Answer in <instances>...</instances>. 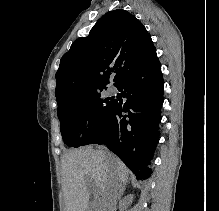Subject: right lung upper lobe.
Returning a JSON list of instances; mask_svg holds the SVG:
<instances>
[{
	"label": "right lung upper lobe",
	"mask_w": 219,
	"mask_h": 211,
	"mask_svg": "<svg viewBox=\"0 0 219 211\" xmlns=\"http://www.w3.org/2000/svg\"><path fill=\"white\" fill-rule=\"evenodd\" d=\"M155 57L152 39L135 16L122 9L110 11L61 58L56 73L57 103L107 89L114 74L116 86Z\"/></svg>",
	"instance_id": "1"
}]
</instances>
